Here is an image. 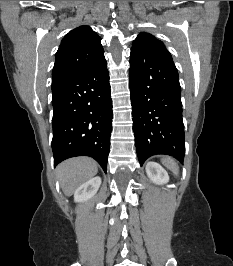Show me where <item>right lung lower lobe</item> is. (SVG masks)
Masks as SVG:
<instances>
[{"instance_id": "1", "label": "right lung lower lobe", "mask_w": 233, "mask_h": 266, "mask_svg": "<svg viewBox=\"0 0 233 266\" xmlns=\"http://www.w3.org/2000/svg\"><path fill=\"white\" fill-rule=\"evenodd\" d=\"M106 66L103 57L52 88L54 166L70 157L90 156L106 173L113 116Z\"/></svg>"}]
</instances>
